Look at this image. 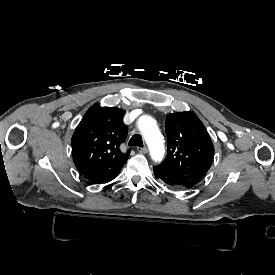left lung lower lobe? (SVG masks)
<instances>
[{
    "mask_svg": "<svg viewBox=\"0 0 275 275\" xmlns=\"http://www.w3.org/2000/svg\"><path fill=\"white\" fill-rule=\"evenodd\" d=\"M153 169L156 179L161 181L166 186L178 190L186 189V187L183 186L181 182L173 176V174L162 168L160 165L155 166Z\"/></svg>",
    "mask_w": 275,
    "mask_h": 275,
    "instance_id": "0a47b994",
    "label": "left lung lower lobe"
}]
</instances>
